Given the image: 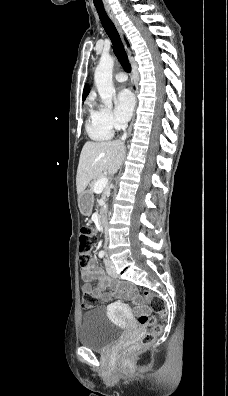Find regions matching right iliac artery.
I'll list each match as a JSON object with an SVG mask.
<instances>
[{
    "label": "right iliac artery",
    "instance_id": "82829eb1",
    "mask_svg": "<svg viewBox=\"0 0 228 396\" xmlns=\"http://www.w3.org/2000/svg\"><path fill=\"white\" fill-rule=\"evenodd\" d=\"M104 255H105V253H104L103 251H100L99 254H98V256H99L100 258H103Z\"/></svg>",
    "mask_w": 228,
    "mask_h": 396
}]
</instances>
